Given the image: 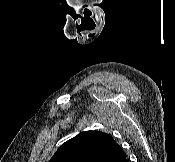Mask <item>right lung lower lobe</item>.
Returning <instances> with one entry per match:
<instances>
[{
  "label": "right lung lower lobe",
  "instance_id": "1",
  "mask_svg": "<svg viewBox=\"0 0 175 162\" xmlns=\"http://www.w3.org/2000/svg\"><path fill=\"white\" fill-rule=\"evenodd\" d=\"M120 162H128V160L126 159V156L122 160H120Z\"/></svg>",
  "mask_w": 175,
  "mask_h": 162
}]
</instances>
